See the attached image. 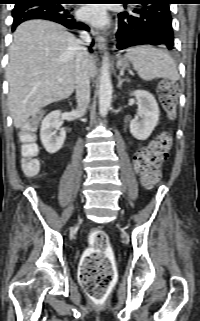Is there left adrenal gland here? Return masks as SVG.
<instances>
[{
    "label": "left adrenal gland",
    "mask_w": 200,
    "mask_h": 321,
    "mask_svg": "<svg viewBox=\"0 0 200 321\" xmlns=\"http://www.w3.org/2000/svg\"><path fill=\"white\" fill-rule=\"evenodd\" d=\"M117 79H118V84H117L118 88H120L122 86L123 82H129L128 79H122L121 76H118Z\"/></svg>",
    "instance_id": "a2214340"
}]
</instances>
